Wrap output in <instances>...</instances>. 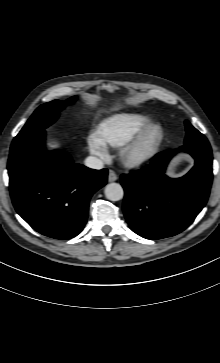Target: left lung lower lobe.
I'll return each instance as SVG.
<instances>
[{
    "mask_svg": "<svg viewBox=\"0 0 220 363\" xmlns=\"http://www.w3.org/2000/svg\"><path fill=\"white\" fill-rule=\"evenodd\" d=\"M195 159V166L177 179L164 172L177 152L158 155L141 170L122 175L123 210L130 228L146 239L174 236L186 229L205 206L212 183L210 145L181 147Z\"/></svg>",
    "mask_w": 220,
    "mask_h": 363,
    "instance_id": "obj_1",
    "label": "left lung lower lobe"
}]
</instances>
